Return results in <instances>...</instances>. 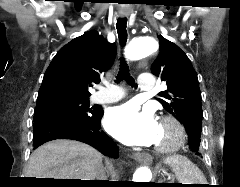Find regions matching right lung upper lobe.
<instances>
[{"label": "right lung upper lobe", "mask_w": 240, "mask_h": 187, "mask_svg": "<svg viewBox=\"0 0 240 187\" xmlns=\"http://www.w3.org/2000/svg\"><path fill=\"white\" fill-rule=\"evenodd\" d=\"M116 57L115 43L97 31L85 32L63 46L47 68L38 92L37 105L59 99L86 98L88 87L99 83Z\"/></svg>", "instance_id": "obj_1"}]
</instances>
